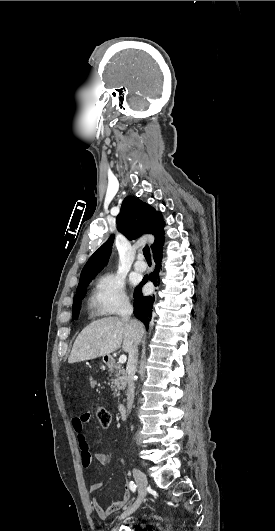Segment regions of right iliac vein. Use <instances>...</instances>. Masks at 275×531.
I'll return each instance as SVG.
<instances>
[{"instance_id": "63e3f726", "label": "right iliac vein", "mask_w": 275, "mask_h": 531, "mask_svg": "<svg viewBox=\"0 0 275 531\" xmlns=\"http://www.w3.org/2000/svg\"><path fill=\"white\" fill-rule=\"evenodd\" d=\"M133 475L138 486L139 495L136 502L129 509L122 513L120 519H124L134 513L142 504L146 495V487L148 485V480L145 474L140 469L134 468Z\"/></svg>"}]
</instances>
